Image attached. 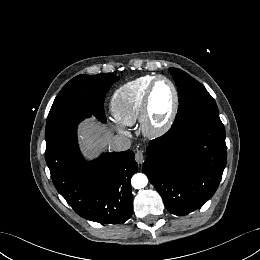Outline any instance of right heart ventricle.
<instances>
[{
  "mask_svg": "<svg viewBox=\"0 0 260 260\" xmlns=\"http://www.w3.org/2000/svg\"><path fill=\"white\" fill-rule=\"evenodd\" d=\"M156 77L145 75L115 90L111 98V110L121 124L129 126L139 121L145 93Z\"/></svg>",
  "mask_w": 260,
  "mask_h": 260,
  "instance_id": "obj_1",
  "label": "right heart ventricle"
}]
</instances>
